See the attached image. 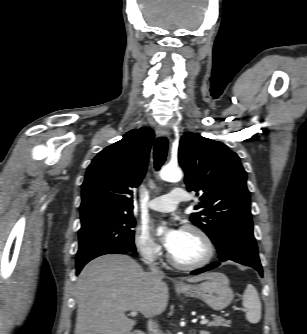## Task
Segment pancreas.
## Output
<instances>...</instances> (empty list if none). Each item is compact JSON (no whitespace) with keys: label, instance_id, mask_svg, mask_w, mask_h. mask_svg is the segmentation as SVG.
<instances>
[{"label":"pancreas","instance_id":"pancreas-1","mask_svg":"<svg viewBox=\"0 0 307 334\" xmlns=\"http://www.w3.org/2000/svg\"><path fill=\"white\" fill-rule=\"evenodd\" d=\"M230 325H231L230 320H225V319H223L222 317H219V316H215L213 318V321L208 324V326H211V327H219V326L230 327Z\"/></svg>","mask_w":307,"mask_h":334}]
</instances>
